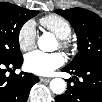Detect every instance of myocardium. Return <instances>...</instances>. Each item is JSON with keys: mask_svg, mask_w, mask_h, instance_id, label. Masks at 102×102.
Returning a JSON list of instances; mask_svg holds the SVG:
<instances>
[{"mask_svg": "<svg viewBox=\"0 0 102 102\" xmlns=\"http://www.w3.org/2000/svg\"><path fill=\"white\" fill-rule=\"evenodd\" d=\"M58 43H59V48L63 50L66 54L71 55L75 53L77 44L71 36L59 39Z\"/></svg>", "mask_w": 102, "mask_h": 102, "instance_id": "myocardium-1", "label": "myocardium"}]
</instances>
